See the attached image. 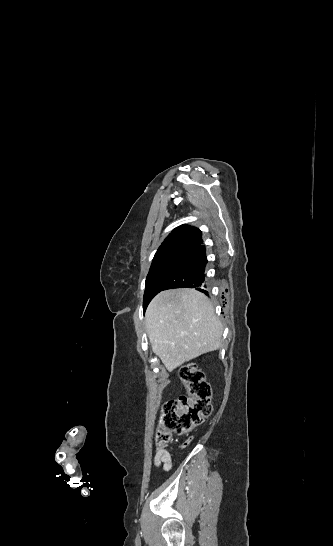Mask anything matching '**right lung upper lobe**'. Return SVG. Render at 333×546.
<instances>
[{
  "mask_svg": "<svg viewBox=\"0 0 333 546\" xmlns=\"http://www.w3.org/2000/svg\"><path fill=\"white\" fill-rule=\"evenodd\" d=\"M203 244L202 233L199 229L181 225L175 228L158 248L157 253L167 250L188 251Z\"/></svg>",
  "mask_w": 333,
  "mask_h": 546,
  "instance_id": "cb5924a9",
  "label": "right lung upper lobe"
}]
</instances>
